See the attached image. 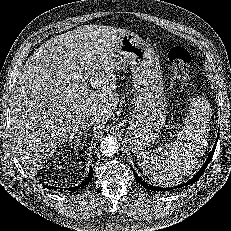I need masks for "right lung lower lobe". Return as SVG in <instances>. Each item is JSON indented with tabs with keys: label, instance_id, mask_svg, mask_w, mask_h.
I'll list each match as a JSON object with an SVG mask.
<instances>
[{
	"label": "right lung lower lobe",
	"instance_id": "98d812e1",
	"mask_svg": "<svg viewBox=\"0 0 231 231\" xmlns=\"http://www.w3.org/2000/svg\"><path fill=\"white\" fill-rule=\"evenodd\" d=\"M92 177H93V171H92V167H90L89 175H88V177L86 178V180L81 185H78L76 187L66 188V189L69 190V191H76L79 188H82V187L86 186L90 182V180L92 179ZM44 187H46L48 189H56V187L48 186V185H45Z\"/></svg>",
	"mask_w": 231,
	"mask_h": 231
}]
</instances>
